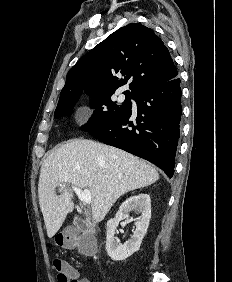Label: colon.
<instances>
[{
  "mask_svg": "<svg viewBox=\"0 0 232 282\" xmlns=\"http://www.w3.org/2000/svg\"><path fill=\"white\" fill-rule=\"evenodd\" d=\"M55 243L58 246L69 250H76L82 254L88 255L92 252L93 242L85 235H76L74 233H64L56 237ZM56 272L58 282H75L73 276V267L65 260L55 257L52 261Z\"/></svg>",
  "mask_w": 232,
  "mask_h": 282,
  "instance_id": "obj_1",
  "label": "colon"
}]
</instances>
